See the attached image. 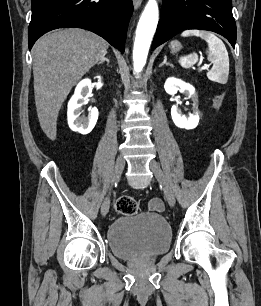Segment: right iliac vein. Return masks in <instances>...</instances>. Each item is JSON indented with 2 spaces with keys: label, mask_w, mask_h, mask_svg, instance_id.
<instances>
[{
  "label": "right iliac vein",
  "mask_w": 261,
  "mask_h": 306,
  "mask_svg": "<svg viewBox=\"0 0 261 306\" xmlns=\"http://www.w3.org/2000/svg\"><path fill=\"white\" fill-rule=\"evenodd\" d=\"M124 166H125V161L123 157L118 156L116 163H115L114 171H113V176H112V181H111L112 185L115 182L119 181L121 174L123 172ZM109 207H110V199L109 197H106L101 206V214L103 216L107 215L109 211Z\"/></svg>",
  "instance_id": "obj_1"
}]
</instances>
